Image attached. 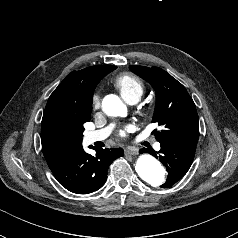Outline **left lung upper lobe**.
<instances>
[{"mask_svg": "<svg viewBox=\"0 0 238 238\" xmlns=\"http://www.w3.org/2000/svg\"><path fill=\"white\" fill-rule=\"evenodd\" d=\"M130 70L151 84L156 92L153 122L163 130L153 133L160 143L197 145L199 119L195 104L185 87L158 67L130 66Z\"/></svg>", "mask_w": 238, "mask_h": 238, "instance_id": "left-lung-upper-lobe-1", "label": "left lung upper lobe"}]
</instances>
